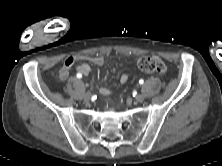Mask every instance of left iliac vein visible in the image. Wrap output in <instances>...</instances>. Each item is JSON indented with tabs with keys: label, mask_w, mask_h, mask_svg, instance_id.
<instances>
[{
	"label": "left iliac vein",
	"mask_w": 222,
	"mask_h": 166,
	"mask_svg": "<svg viewBox=\"0 0 222 166\" xmlns=\"http://www.w3.org/2000/svg\"><path fill=\"white\" fill-rule=\"evenodd\" d=\"M135 100L137 102H143L144 100V96L142 94H138L136 97H135Z\"/></svg>",
	"instance_id": "4c4485c4"
}]
</instances>
